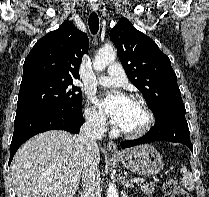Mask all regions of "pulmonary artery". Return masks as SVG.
Returning <instances> with one entry per match:
<instances>
[{
  "mask_svg": "<svg viewBox=\"0 0 209 197\" xmlns=\"http://www.w3.org/2000/svg\"><path fill=\"white\" fill-rule=\"evenodd\" d=\"M127 82L126 75L119 63L113 62L108 66L107 74L99 77L98 83L103 86L120 87Z\"/></svg>",
  "mask_w": 209,
  "mask_h": 197,
  "instance_id": "1",
  "label": "pulmonary artery"
}]
</instances>
